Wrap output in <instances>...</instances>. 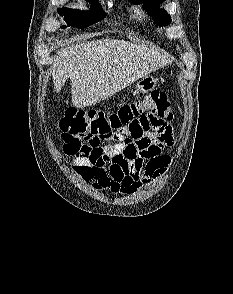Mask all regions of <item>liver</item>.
Segmentation results:
<instances>
[{
  "mask_svg": "<svg viewBox=\"0 0 233 294\" xmlns=\"http://www.w3.org/2000/svg\"><path fill=\"white\" fill-rule=\"evenodd\" d=\"M170 63L166 56L127 41H86L58 51L52 66L54 90L59 93L70 78L72 103L84 108Z\"/></svg>",
  "mask_w": 233,
  "mask_h": 294,
  "instance_id": "1",
  "label": "liver"
}]
</instances>
